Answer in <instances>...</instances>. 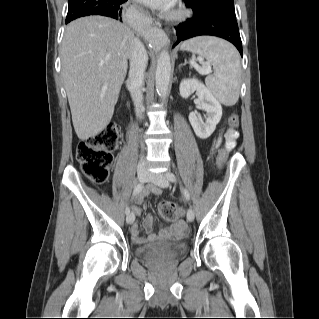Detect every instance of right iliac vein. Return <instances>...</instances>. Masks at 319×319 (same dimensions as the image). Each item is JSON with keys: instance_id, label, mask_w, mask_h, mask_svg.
<instances>
[{"instance_id": "63e3f726", "label": "right iliac vein", "mask_w": 319, "mask_h": 319, "mask_svg": "<svg viewBox=\"0 0 319 319\" xmlns=\"http://www.w3.org/2000/svg\"><path fill=\"white\" fill-rule=\"evenodd\" d=\"M137 175H138L139 181H141V182H144L148 179V172L145 169H139L137 171ZM134 219H135V216L133 213H129L126 217V221L128 224H132Z\"/></svg>"}]
</instances>
